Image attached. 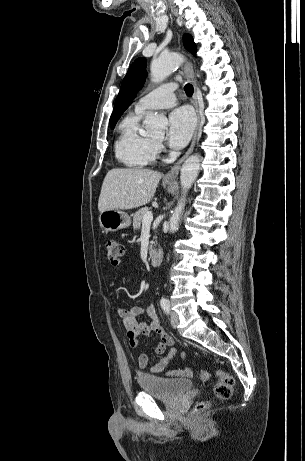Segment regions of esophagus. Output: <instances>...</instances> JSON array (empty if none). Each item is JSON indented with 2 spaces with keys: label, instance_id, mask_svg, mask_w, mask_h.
<instances>
[{
  "label": "esophagus",
  "instance_id": "34e87169",
  "mask_svg": "<svg viewBox=\"0 0 305 461\" xmlns=\"http://www.w3.org/2000/svg\"><path fill=\"white\" fill-rule=\"evenodd\" d=\"M183 69H184V73L187 79L189 80V82H191L194 88L192 102H193V105L195 107L196 114H197V125L194 131V135H193L190 147L188 148L187 152L174 164V166L170 169V171L166 173V175L164 176L165 181H175L177 179L182 163L192 153L194 149V146L197 140L199 126H200V112H199L198 102H197V83L194 77V72H193L191 62H186Z\"/></svg>",
  "mask_w": 305,
  "mask_h": 461
}]
</instances>
